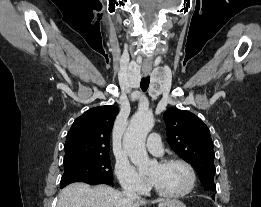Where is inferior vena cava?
<instances>
[{
	"label": "inferior vena cava",
	"instance_id": "obj_1",
	"mask_svg": "<svg viewBox=\"0 0 261 207\" xmlns=\"http://www.w3.org/2000/svg\"><path fill=\"white\" fill-rule=\"evenodd\" d=\"M124 196H126L129 200H136L139 198L135 189L132 186H126L123 191Z\"/></svg>",
	"mask_w": 261,
	"mask_h": 207
}]
</instances>
